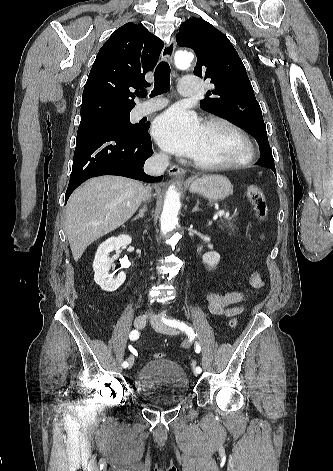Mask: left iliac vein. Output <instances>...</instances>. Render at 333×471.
Instances as JSON below:
<instances>
[{"label": "left iliac vein", "mask_w": 333, "mask_h": 471, "mask_svg": "<svg viewBox=\"0 0 333 471\" xmlns=\"http://www.w3.org/2000/svg\"><path fill=\"white\" fill-rule=\"evenodd\" d=\"M151 325L152 327L160 332V333H163V334H168V335H175L177 334V330L166 325L162 320H160L157 316H154L151 318ZM194 374H198L195 370H194Z\"/></svg>", "instance_id": "1"}]
</instances>
